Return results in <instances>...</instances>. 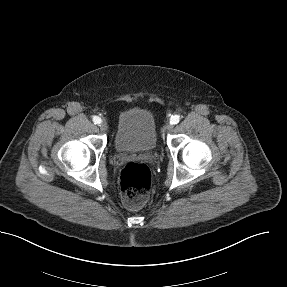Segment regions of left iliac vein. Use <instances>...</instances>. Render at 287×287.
<instances>
[{
	"mask_svg": "<svg viewBox=\"0 0 287 287\" xmlns=\"http://www.w3.org/2000/svg\"><path fill=\"white\" fill-rule=\"evenodd\" d=\"M172 129H173V125L170 124V123H168V124L165 126V131H167V132L172 131Z\"/></svg>",
	"mask_w": 287,
	"mask_h": 287,
	"instance_id": "left-iliac-vein-1",
	"label": "left iliac vein"
}]
</instances>
